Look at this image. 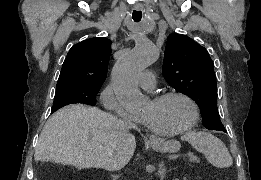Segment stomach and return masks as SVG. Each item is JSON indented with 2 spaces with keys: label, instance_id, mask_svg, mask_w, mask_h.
Listing matches in <instances>:
<instances>
[{
  "label": "stomach",
  "instance_id": "0dacf381",
  "mask_svg": "<svg viewBox=\"0 0 261 180\" xmlns=\"http://www.w3.org/2000/svg\"><path fill=\"white\" fill-rule=\"evenodd\" d=\"M151 146L154 150L161 153H174L180 149V143L176 140L159 141Z\"/></svg>",
  "mask_w": 261,
  "mask_h": 180
}]
</instances>
